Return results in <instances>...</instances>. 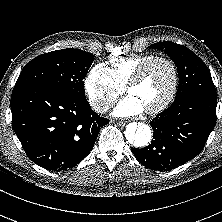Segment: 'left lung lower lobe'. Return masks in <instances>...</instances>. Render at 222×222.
Listing matches in <instances>:
<instances>
[{
  "instance_id": "0a47b994",
  "label": "left lung lower lobe",
  "mask_w": 222,
  "mask_h": 222,
  "mask_svg": "<svg viewBox=\"0 0 222 222\" xmlns=\"http://www.w3.org/2000/svg\"><path fill=\"white\" fill-rule=\"evenodd\" d=\"M217 97L192 94L175 100L154 118L153 140L145 148H132L144 166L167 171L199 155L216 124Z\"/></svg>"
}]
</instances>
